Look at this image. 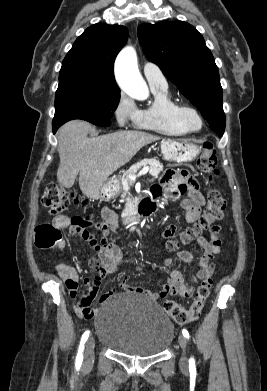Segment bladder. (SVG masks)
Masks as SVG:
<instances>
[{
    "instance_id": "bladder-1",
    "label": "bladder",
    "mask_w": 267,
    "mask_h": 391,
    "mask_svg": "<svg viewBox=\"0 0 267 391\" xmlns=\"http://www.w3.org/2000/svg\"><path fill=\"white\" fill-rule=\"evenodd\" d=\"M95 328L103 345L129 356L158 355L174 338L173 323L161 307L133 293L105 301L96 314Z\"/></svg>"
}]
</instances>
